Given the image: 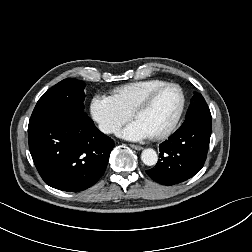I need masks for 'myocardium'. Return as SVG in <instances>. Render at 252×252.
Segmentation results:
<instances>
[{
  "label": "myocardium",
  "instance_id": "f54148a6",
  "mask_svg": "<svg viewBox=\"0 0 252 252\" xmlns=\"http://www.w3.org/2000/svg\"><path fill=\"white\" fill-rule=\"evenodd\" d=\"M169 87H175L179 90L180 92V96H181V104L179 107V110L173 120V122L171 123V125L164 130L161 133H158L156 135H153V137L157 140H161V139H165L167 137H169L170 135H172L174 133V131L176 130L186 107V94L183 90V88L177 84V83H173V82H166L165 84H162L156 88H154L153 90H151L134 108L132 115L134 118L137 117V115L144 111L145 109H147L153 102V100L155 99V97L157 96V94L159 92H161L162 90L169 88Z\"/></svg>",
  "mask_w": 252,
  "mask_h": 252
}]
</instances>
